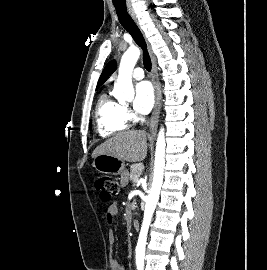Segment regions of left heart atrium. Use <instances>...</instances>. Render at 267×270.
Segmentation results:
<instances>
[{
  "mask_svg": "<svg viewBox=\"0 0 267 270\" xmlns=\"http://www.w3.org/2000/svg\"><path fill=\"white\" fill-rule=\"evenodd\" d=\"M155 102V93L149 81H141L135 87L134 110L139 114L151 111Z\"/></svg>",
  "mask_w": 267,
  "mask_h": 270,
  "instance_id": "1",
  "label": "left heart atrium"
}]
</instances>
